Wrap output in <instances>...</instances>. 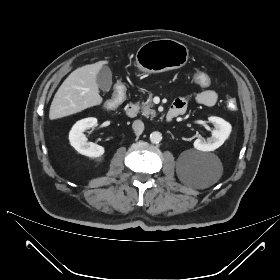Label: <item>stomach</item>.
I'll return each instance as SVG.
<instances>
[{"instance_id":"obj_1","label":"stomach","mask_w":280,"mask_h":280,"mask_svg":"<svg viewBox=\"0 0 280 280\" xmlns=\"http://www.w3.org/2000/svg\"><path fill=\"white\" fill-rule=\"evenodd\" d=\"M189 58L187 47L172 39L144 43L136 53V64L145 73H159L184 66Z\"/></svg>"}]
</instances>
